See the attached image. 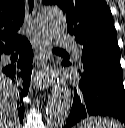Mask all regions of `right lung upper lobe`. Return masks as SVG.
I'll return each instance as SVG.
<instances>
[{"label":"right lung upper lobe","instance_id":"cb5924a9","mask_svg":"<svg viewBox=\"0 0 125 128\" xmlns=\"http://www.w3.org/2000/svg\"><path fill=\"white\" fill-rule=\"evenodd\" d=\"M24 14V0H0V51L24 39L17 34L24 22Z\"/></svg>","mask_w":125,"mask_h":128}]
</instances>
